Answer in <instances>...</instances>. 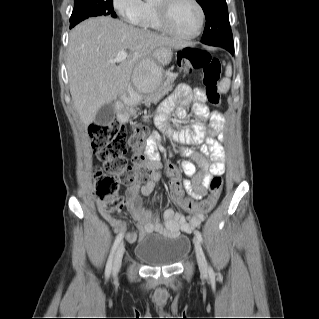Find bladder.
Returning a JSON list of instances; mask_svg holds the SVG:
<instances>
[{"label": "bladder", "instance_id": "1", "mask_svg": "<svg viewBox=\"0 0 319 319\" xmlns=\"http://www.w3.org/2000/svg\"><path fill=\"white\" fill-rule=\"evenodd\" d=\"M191 249L187 235H146L136 244L134 255L147 266L173 265L182 260Z\"/></svg>", "mask_w": 319, "mask_h": 319}]
</instances>
